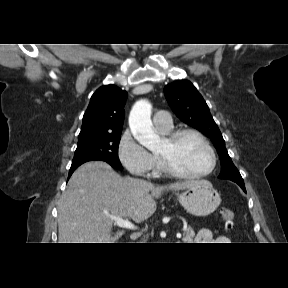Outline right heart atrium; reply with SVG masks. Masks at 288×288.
<instances>
[{
	"instance_id": "d8ad5b80",
	"label": "right heart atrium",
	"mask_w": 288,
	"mask_h": 288,
	"mask_svg": "<svg viewBox=\"0 0 288 288\" xmlns=\"http://www.w3.org/2000/svg\"><path fill=\"white\" fill-rule=\"evenodd\" d=\"M118 157L122 165L133 175L154 177L157 175V157L147 151L130 131H125L118 143Z\"/></svg>"
}]
</instances>
